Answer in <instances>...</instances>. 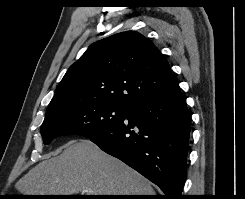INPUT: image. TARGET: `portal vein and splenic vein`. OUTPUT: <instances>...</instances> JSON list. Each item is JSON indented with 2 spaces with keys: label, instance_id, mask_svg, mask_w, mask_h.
Here are the masks:
<instances>
[{
  "label": "portal vein and splenic vein",
  "instance_id": "obj_1",
  "mask_svg": "<svg viewBox=\"0 0 245 199\" xmlns=\"http://www.w3.org/2000/svg\"><path fill=\"white\" fill-rule=\"evenodd\" d=\"M83 192H85L86 194H91L90 190H84Z\"/></svg>",
  "mask_w": 245,
  "mask_h": 199
}]
</instances>
